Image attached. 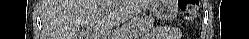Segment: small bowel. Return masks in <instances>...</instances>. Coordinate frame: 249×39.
<instances>
[{
    "label": "small bowel",
    "instance_id": "c3829d8e",
    "mask_svg": "<svg viewBox=\"0 0 249 39\" xmlns=\"http://www.w3.org/2000/svg\"><path fill=\"white\" fill-rule=\"evenodd\" d=\"M179 31L178 28L175 27H159L153 29L146 39H168L173 36L175 33Z\"/></svg>",
    "mask_w": 249,
    "mask_h": 39
}]
</instances>
